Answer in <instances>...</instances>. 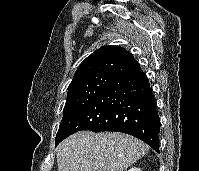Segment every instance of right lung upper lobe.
I'll use <instances>...</instances> for the list:
<instances>
[{
    "label": "right lung upper lobe",
    "mask_w": 199,
    "mask_h": 171,
    "mask_svg": "<svg viewBox=\"0 0 199 171\" xmlns=\"http://www.w3.org/2000/svg\"><path fill=\"white\" fill-rule=\"evenodd\" d=\"M138 62L124 48L103 46L89 55L78 67L68 90L100 74L116 76Z\"/></svg>",
    "instance_id": "obj_1"
}]
</instances>
